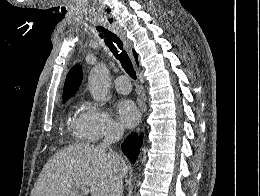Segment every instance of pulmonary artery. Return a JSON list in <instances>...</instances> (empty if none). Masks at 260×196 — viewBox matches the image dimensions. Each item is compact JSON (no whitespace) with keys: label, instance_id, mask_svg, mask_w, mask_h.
<instances>
[{"label":"pulmonary artery","instance_id":"obj_1","mask_svg":"<svg viewBox=\"0 0 260 196\" xmlns=\"http://www.w3.org/2000/svg\"><path fill=\"white\" fill-rule=\"evenodd\" d=\"M112 84H117L115 88L120 93H128L132 90V85H130V81L127 76H116L115 79H112Z\"/></svg>","mask_w":260,"mask_h":196}]
</instances>
